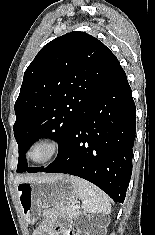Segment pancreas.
I'll list each match as a JSON object with an SVG mask.
<instances>
[{
    "label": "pancreas",
    "mask_w": 155,
    "mask_h": 235,
    "mask_svg": "<svg viewBox=\"0 0 155 235\" xmlns=\"http://www.w3.org/2000/svg\"><path fill=\"white\" fill-rule=\"evenodd\" d=\"M62 210L64 212H66V214L70 217V218H76L78 216V211L74 210L73 208L69 207V206H64L62 207Z\"/></svg>",
    "instance_id": "cf45deb5"
}]
</instances>
